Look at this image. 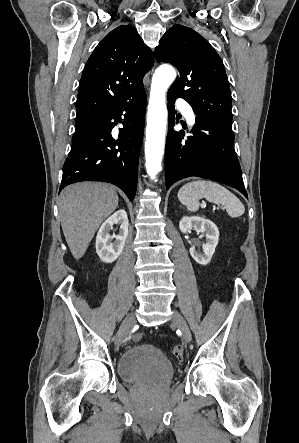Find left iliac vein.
<instances>
[{"label":"left iliac vein","instance_id":"left-iliac-vein-1","mask_svg":"<svg viewBox=\"0 0 299 443\" xmlns=\"http://www.w3.org/2000/svg\"><path fill=\"white\" fill-rule=\"evenodd\" d=\"M172 323L181 330L182 332V338L187 342H191V332L190 329L185 321V319L182 317V315L178 311H174L172 316Z\"/></svg>","mask_w":299,"mask_h":443}]
</instances>
